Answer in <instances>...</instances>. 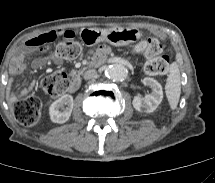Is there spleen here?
<instances>
[{
  "instance_id": "spleen-1",
  "label": "spleen",
  "mask_w": 215,
  "mask_h": 183,
  "mask_svg": "<svg viewBox=\"0 0 215 183\" xmlns=\"http://www.w3.org/2000/svg\"><path fill=\"white\" fill-rule=\"evenodd\" d=\"M165 93L172 110L176 109L180 94H181V82L180 71L177 64H172L170 72L165 85Z\"/></svg>"
}]
</instances>
